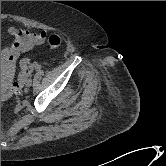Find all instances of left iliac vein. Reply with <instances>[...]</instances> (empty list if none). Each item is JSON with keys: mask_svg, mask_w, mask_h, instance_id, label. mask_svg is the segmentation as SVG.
<instances>
[{"mask_svg": "<svg viewBox=\"0 0 166 166\" xmlns=\"http://www.w3.org/2000/svg\"><path fill=\"white\" fill-rule=\"evenodd\" d=\"M32 85V79L31 78H28L26 81H25V86L26 87H30Z\"/></svg>", "mask_w": 166, "mask_h": 166, "instance_id": "left-iliac-vein-1", "label": "left iliac vein"}]
</instances>
